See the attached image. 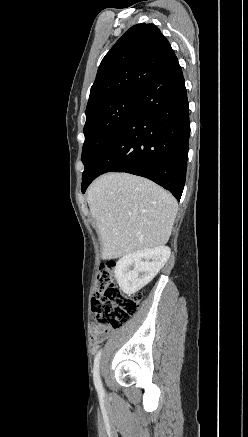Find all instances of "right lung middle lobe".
Instances as JSON below:
<instances>
[{
	"mask_svg": "<svg viewBox=\"0 0 248 437\" xmlns=\"http://www.w3.org/2000/svg\"><path fill=\"white\" fill-rule=\"evenodd\" d=\"M138 94L120 95L86 115L85 141L81 157L85 166L82 179L88 174L101 149L129 115Z\"/></svg>",
	"mask_w": 248,
	"mask_h": 437,
	"instance_id": "right-lung-middle-lobe-1",
	"label": "right lung middle lobe"
}]
</instances>
